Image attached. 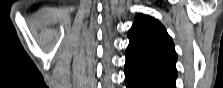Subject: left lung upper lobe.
I'll return each mask as SVG.
<instances>
[{"mask_svg":"<svg viewBox=\"0 0 223 88\" xmlns=\"http://www.w3.org/2000/svg\"><path fill=\"white\" fill-rule=\"evenodd\" d=\"M128 38L126 64L176 79L174 43L159 21L138 15L128 32Z\"/></svg>","mask_w":223,"mask_h":88,"instance_id":"obj_1","label":"left lung upper lobe"}]
</instances>
